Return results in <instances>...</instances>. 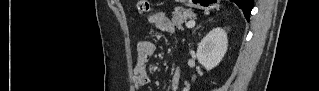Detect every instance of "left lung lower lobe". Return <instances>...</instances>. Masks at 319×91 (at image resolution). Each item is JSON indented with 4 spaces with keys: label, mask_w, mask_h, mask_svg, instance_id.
<instances>
[{
    "label": "left lung lower lobe",
    "mask_w": 319,
    "mask_h": 91,
    "mask_svg": "<svg viewBox=\"0 0 319 91\" xmlns=\"http://www.w3.org/2000/svg\"><path fill=\"white\" fill-rule=\"evenodd\" d=\"M233 1L242 9L244 16L249 21L250 13L254 5V0H233Z\"/></svg>",
    "instance_id": "0a47b994"
}]
</instances>
